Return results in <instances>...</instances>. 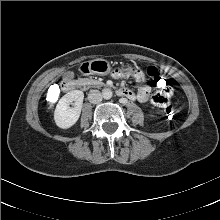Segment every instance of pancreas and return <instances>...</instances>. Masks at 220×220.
I'll use <instances>...</instances> for the list:
<instances>
[{"label": "pancreas", "instance_id": "obj_1", "mask_svg": "<svg viewBox=\"0 0 220 220\" xmlns=\"http://www.w3.org/2000/svg\"><path fill=\"white\" fill-rule=\"evenodd\" d=\"M83 82L88 86H102L103 83L94 79H83Z\"/></svg>", "mask_w": 220, "mask_h": 220}]
</instances>
